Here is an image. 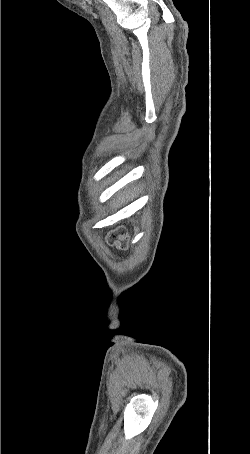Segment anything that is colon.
I'll list each match as a JSON object with an SVG mask.
<instances>
[{"instance_id": "obj_1", "label": "colon", "mask_w": 250, "mask_h": 454, "mask_svg": "<svg viewBox=\"0 0 250 454\" xmlns=\"http://www.w3.org/2000/svg\"><path fill=\"white\" fill-rule=\"evenodd\" d=\"M106 242L119 250L125 251L130 247V236L123 226L111 229L106 235Z\"/></svg>"}]
</instances>
